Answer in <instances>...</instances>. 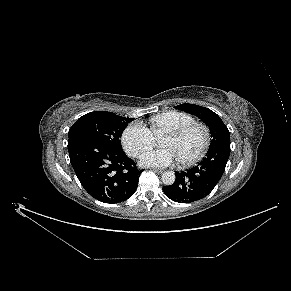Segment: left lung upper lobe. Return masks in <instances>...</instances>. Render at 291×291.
<instances>
[{
    "mask_svg": "<svg viewBox=\"0 0 291 291\" xmlns=\"http://www.w3.org/2000/svg\"><path fill=\"white\" fill-rule=\"evenodd\" d=\"M175 108L188 112L200 118L210 129L211 143L208 151L220 145H230L229 131L221 118L212 110L195 104H181Z\"/></svg>",
    "mask_w": 291,
    "mask_h": 291,
    "instance_id": "obj_1",
    "label": "left lung upper lobe"
}]
</instances>
